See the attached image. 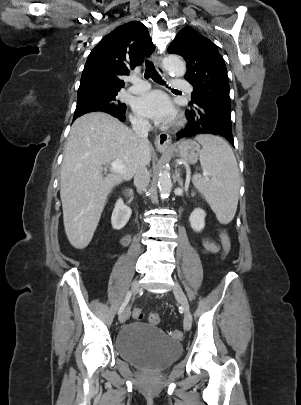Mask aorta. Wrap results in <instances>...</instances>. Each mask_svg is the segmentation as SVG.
Here are the masks:
<instances>
[{"label":"aorta","mask_w":301,"mask_h":405,"mask_svg":"<svg viewBox=\"0 0 301 405\" xmlns=\"http://www.w3.org/2000/svg\"><path fill=\"white\" fill-rule=\"evenodd\" d=\"M163 66L168 72L174 74L177 77L184 76L186 72L185 63L180 57L176 55H170L166 57L163 60ZM158 187L161 198H168L172 189V182L170 178V172L167 169L160 172Z\"/></svg>","instance_id":"1"}]
</instances>
